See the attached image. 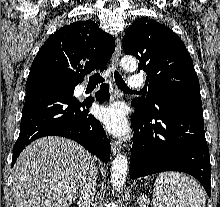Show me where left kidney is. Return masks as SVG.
<instances>
[{
	"instance_id": "1",
	"label": "left kidney",
	"mask_w": 220,
	"mask_h": 207,
	"mask_svg": "<svg viewBox=\"0 0 220 207\" xmlns=\"http://www.w3.org/2000/svg\"><path fill=\"white\" fill-rule=\"evenodd\" d=\"M137 201H138L140 207H149L150 200L147 196L140 195L137 198Z\"/></svg>"
}]
</instances>
